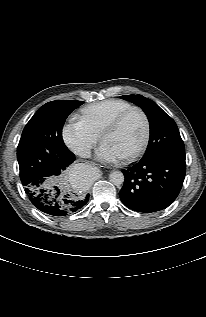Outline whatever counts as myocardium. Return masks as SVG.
Listing matches in <instances>:
<instances>
[{
    "mask_svg": "<svg viewBox=\"0 0 206 317\" xmlns=\"http://www.w3.org/2000/svg\"><path fill=\"white\" fill-rule=\"evenodd\" d=\"M133 112H138L142 116L144 121V134L138 147L134 149L132 152H130L129 154L122 157L123 160H132L137 158L140 154L143 153V151L148 145L150 135H151V123L146 111L139 106H132L128 108L127 110L123 111L122 113H120L119 115H117L116 117H114L106 125V127L103 129V131L100 134V140L101 142H103L104 138L110 133L117 130L121 126V124L124 122V120Z\"/></svg>",
    "mask_w": 206,
    "mask_h": 317,
    "instance_id": "1",
    "label": "myocardium"
}]
</instances>
